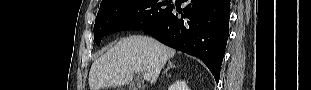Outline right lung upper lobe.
I'll return each mask as SVG.
<instances>
[{
  "mask_svg": "<svg viewBox=\"0 0 311 90\" xmlns=\"http://www.w3.org/2000/svg\"><path fill=\"white\" fill-rule=\"evenodd\" d=\"M106 0H102V2L101 3H103V2H105Z\"/></svg>",
  "mask_w": 311,
  "mask_h": 90,
  "instance_id": "obj_1",
  "label": "right lung upper lobe"
}]
</instances>
